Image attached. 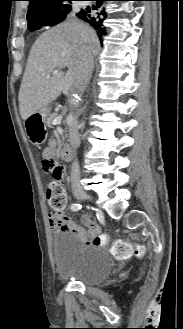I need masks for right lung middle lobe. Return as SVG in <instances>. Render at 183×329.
Here are the masks:
<instances>
[{
    "mask_svg": "<svg viewBox=\"0 0 183 329\" xmlns=\"http://www.w3.org/2000/svg\"><path fill=\"white\" fill-rule=\"evenodd\" d=\"M71 1L68 2L67 4L61 5L59 8H57V13L55 14V16L45 22H32L31 24H28V27L30 30L34 31L37 29L42 28L43 26H54L60 22H62L67 14L71 11V5H70Z\"/></svg>",
    "mask_w": 183,
    "mask_h": 329,
    "instance_id": "obj_1",
    "label": "right lung middle lobe"
}]
</instances>
